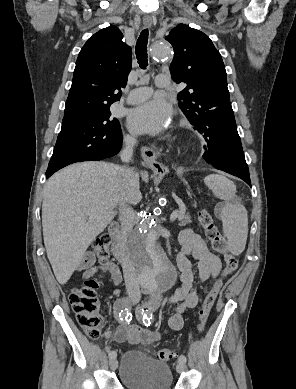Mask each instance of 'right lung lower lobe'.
<instances>
[{
    "instance_id": "right-lung-lower-lobe-1",
    "label": "right lung lower lobe",
    "mask_w": 296,
    "mask_h": 389,
    "mask_svg": "<svg viewBox=\"0 0 296 389\" xmlns=\"http://www.w3.org/2000/svg\"><path fill=\"white\" fill-rule=\"evenodd\" d=\"M121 146H122V143H121L120 147L117 148L116 150L104 152L102 154H99L98 156L87 158L85 161H95V160H102V159L110 158V157L116 155L120 151ZM60 168H63V167L48 168L46 171V178L50 177L54 172H56Z\"/></svg>"
}]
</instances>
